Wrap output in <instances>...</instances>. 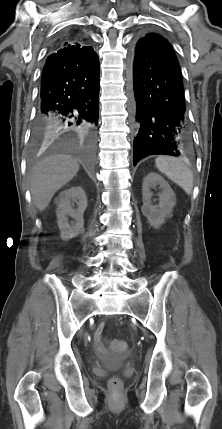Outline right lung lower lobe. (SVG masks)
Masks as SVG:
<instances>
[{
	"label": "right lung lower lobe",
	"mask_w": 222,
	"mask_h": 429,
	"mask_svg": "<svg viewBox=\"0 0 222 429\" xmlns=\"http://www.w3.org/2000/svg\"><path fill=\"white\" fill-rule=\"evenodd\" d=\"M99 113V60L95 51L78 57L68 49L48 55L41 78L34 130L54 135H91Z\"/></svg>",
	"instance_id": "1"
}]
</instances>
